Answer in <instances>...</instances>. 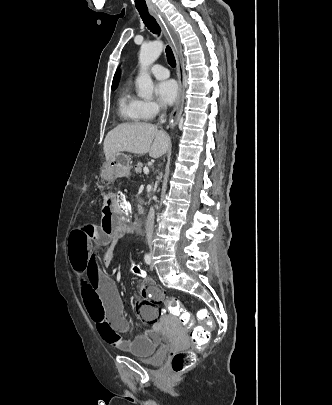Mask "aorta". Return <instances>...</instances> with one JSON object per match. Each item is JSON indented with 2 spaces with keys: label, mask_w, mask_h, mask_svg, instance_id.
<instances>
[{
  "label": "aorta",
  "mask_w": 332,
  "mask_h": 405,
  "mask_svg": "<svg viewBox=\"0 0 332 405\" xmlns=\"http://www.w3.org/2000/svg\"><path fill=\"white\" fill-rule=\"evenodd\" d=\"M163 50V43L156 40L150 43H145L141 46L139 54L140 74L136 79L139 95L143 98H150L153 94V81L148 73V68L160 56Z\"/></svg>",
  "instance_id": "aorta-1"
}]
</instances>
